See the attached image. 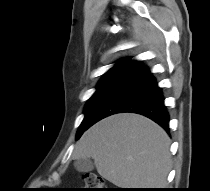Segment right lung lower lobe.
<instances>
[{
  "label": "right lung lower lobe",
  "mask_w": 210,
  "mask_h": 191,
  "mask_svg": "<svg viewBox=\"0 0 210 191\" xmlns=\"http://www.w3.org/2000/svg\"><path fill=\"white\" fill-rule=\"evenodd\" d=\"M121 112L144 115L169 132V113L164 105L162 89L141 61H129L123 74L98 108L95 123Z\"/></svg>",
  "instance_id": "1"
}]
</instances>
